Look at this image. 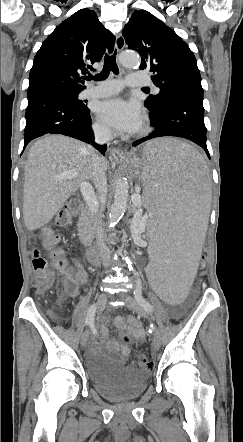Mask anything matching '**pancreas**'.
<instances>
[{
	"mask_svg": "<svg viewBox=\"0 0 243 442\" xmlns=\"http://www.w3.org/2000/svg\"><path fill=\"white\" fill-rule=\"evenodd\" d=\"M95 234V216L89 210H85L78 223V236L85 245L92 243Z\"/></svg>",
	"mask_w": 243,
	"mask_h": 442,
	"instance_id": "obj_1",
	"label": "pancreas"
}]
</instances>
